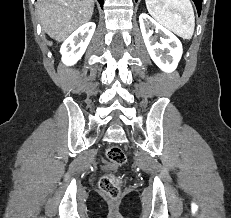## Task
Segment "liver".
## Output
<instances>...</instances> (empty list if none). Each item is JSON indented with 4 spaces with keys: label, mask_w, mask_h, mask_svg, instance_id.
<instances>
[{
    "label": "liver",
    "mask_w": 231,
    "mask_h": 218,
    "mask_svg": "<svg viewBox=\"0 0 231 218\" xmlns=\"http://www.w3.org/2000/svg\"><path fill=\"white\" fill-rule=\"evenodd\" d=\"M38 15L44 31L58 42L88 22L94 11L93 0H38Z\"/></svg>",
    "instance_id": "obj_1"
}]
</instances>
